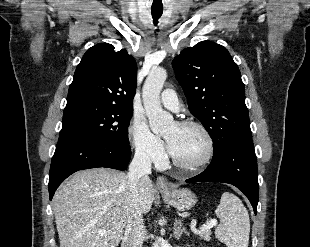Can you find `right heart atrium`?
<instances>
[{
    "label": "right heart atrium",
    "instance_id": "d8ad5b80",
    "mask_svg": "<svg viewBox=\"0 0 310 247\" xmlns=\"http://www.w3.org/2000/svg\"><path fill=\"white\" fill-rule=\"evenodd\" d=\"M128 134L135 154L148 163L161 164L165 158L160 139L141 117L132 119Z\"/></svg>",
    "mask_w": 310,
    "mask_h": 247
}]
</instances>
